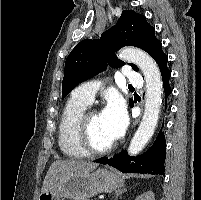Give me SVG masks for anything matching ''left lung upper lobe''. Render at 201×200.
<instances>
[{
  "instance_id": "left-lung-upper-lobe-1",
  "label": "left lung upper lobe",
  "mask_w": 201,
  "mask_h": 200,
  "mask_svg": "<svg viewBox=\"0 0 201 200\" xmlns=\"http://www.w3.org/2000/svg\"><path fill=\"white\" fill-rule=\"evenodd\" d=\"M126 45L145 50L155 61L163 53L162 44L155 37V29L147 23L146 17L133 10H124L116 25L102 33L100 39H85L68 55L62 82V99L79 83L105 70L107 64L113 68L124 65L115 52ZM130 65L138 71L136 65ZM129 104L132 107L131 99Z\"/></svg>"
}]
</instances>
